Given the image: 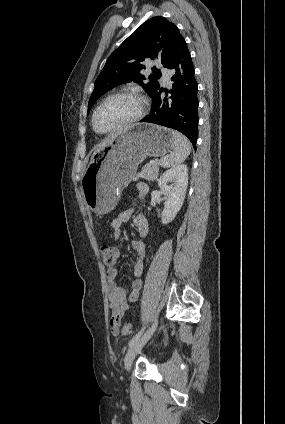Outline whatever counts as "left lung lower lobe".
<instances>
[{
    "instance_id": "1",
    "label": "left lung lower lobe",
    "mask_w": 285,
    "mask_h": 424,
    "mask_svg": "<svg viewBox=\"0 0 285 424\" xmlns=\"http://www.w3.org/2000/svg\"><path fill=\"white\" fill-rule=\"evenodd\" d=\"M166 68L174 73L172 89L165 90L168 98H161L162 88L150 96L153 99L151 112L141 122L154 123L183 133L196 149L198 135V84L195 70L185 39L181 36Z\"/></svg>"
}]
</instances>
